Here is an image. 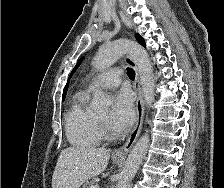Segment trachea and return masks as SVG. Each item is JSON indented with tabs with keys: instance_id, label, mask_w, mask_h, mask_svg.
I'll list each match as a JSON object with an SVG mask.
<instances>
[{
	"instance_id": "trachea-1",
	"label": "trachea",
	"mask_w": 224,
	"mask_h": 188,
	"mask_svg": "<svg viewBox=\"0 0 224 188\" xmlns=\"http://www.w3.org/2000/svg\"><path fill=\"white\" fill-rule=\"evenodd\" d=\"M127 73L131 80L135 79V71L132 68H127Z\"/></svg>"
}]
</instances>
